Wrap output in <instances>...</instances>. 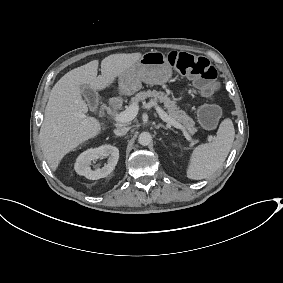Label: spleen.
I'll return each mask as SVG.
<instances>
[{
	"mask_svg": "<svg viewBox=\"0 0 283 283\" xmlns=\"http://www.w3.org/2000/svg\"><path fill=\"white\" fill-rule=\"evenodd\" d=\"M234 137L233 122L226 118L220 123L217 135L211 142L199 145L191 152L186 170L187 178L201 180L218 170L232 147Z\"/></svg>",
	"mask_w": 283,
	"mask_h": 283,
	"instance_id": "1",
	"label": "spleen"
}]
</instances>
